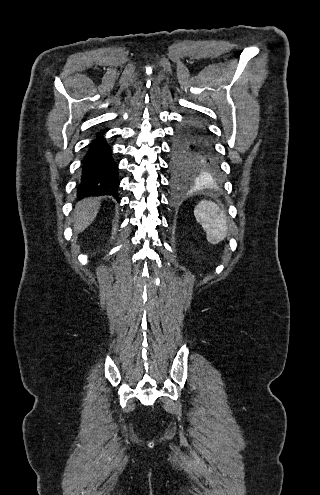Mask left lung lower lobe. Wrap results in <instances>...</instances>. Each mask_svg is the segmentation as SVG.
<instances>
[{
    "instance_id": "0a47b994",
    "label": "left lung lower lobe",
    "mask_w": 320,
    "mask_h": 495,
    "mask_svg": "<svg viewBox=\"0 0 320 495\" xmlns=\"http://www.w3.org/2000/svg\"><path fill=\"white\" fill-rule=\"evenodd\" d=\"M185 125L190 131L193 138L195 149L202 155L208 167V174H214L219 170V160L214 152L212 143L207 132L202 128L199 122L194 118L186 120Z\"/></svg>"
}]
</instances>
